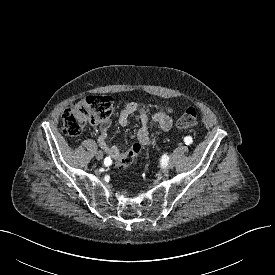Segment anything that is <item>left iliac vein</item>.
Masks as SVG:
<instances>
[{
    "label": "left iliac vein",
    "instance_id": "obj_1",
    "mask_svg": "<svg viewBox=\"0 0 275 275\" xmlns=\"http://www.w3.org/2000/svg\"><path fill=\"white\" fill-rule=\"evenodd\" d=\"M174 166V163L172 160H169L168 162H166L163 167H162V170L163 172H167L168 170H170L171 168H173Z\"/></svg>",
    "mask_w": 275,
    "mask_h": 275
}]
</instances>
